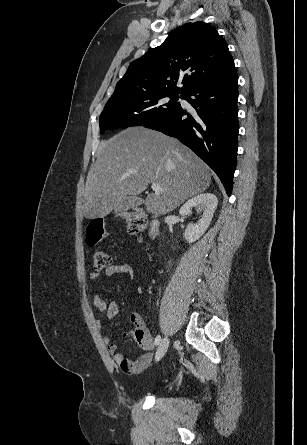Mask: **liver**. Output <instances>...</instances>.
Masks as SVG:
<instances>
[{
  "instance_id": "liver-1",
  "label": "liver",
  "mask_w": 307,
  "mask_h": 445,
  "mask_svg": "<svg viewBox=\"0 0 307 445\" xmlns=\"http://www.w3.org/2000/svg\"><path fill=\"white\" fill-rule=\"evenodd\" d=\"M85 184V218L125 212L128 194H140L150 182L162 190L144 200L147 212L166 214L186 198L210 186L209 166L177 138L163 132L129 126L101 140Z\"/></svg>"
}]
</instances>
